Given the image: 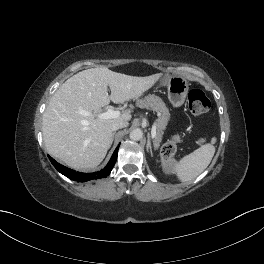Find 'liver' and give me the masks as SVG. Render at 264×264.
Masks as SVG:
<instances>
[{
    "instance_id": "liver-1",
    "label": "liver",
    "mask_w": 264,
    "mask_h": 264,
    "mask_svg": "<svg viewBox=\"0 0 264 264\" xmlns=\"http://www.w3.org/2000/svg\"><path fill=\"white\" fill-rule=\"evenodd\" d=\"M161 73L136 77L108 68L81 71L66 80L52 96L42 120L47 151L74 169H92L105 158L112 144V126L131 120L129 113L101 119L110 101L124 103L150 89ZM110 88L111 95L107 88ZM88 111L89 115L80 112Z\"/></svg>"
}]
</instances>
